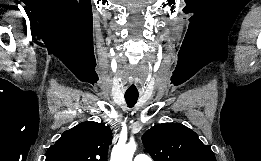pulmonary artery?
I'll list each match as a JSON object with an SVG mask.
<instances>
[{"instance_id":"obj_1","label":"pulmonary artery","mask_w":261,"mask_h":161,"mask_svg":"<svg viewBox=\"0 0 261 161\" xmlns=\"http://www.w3.org/2000/svg\"><path fill=\"white\" fill-rule=\"evenodd\" d=\"M134 161H152V158L144 153H138L135 156Z\"/></svg>"}]
</instances>
